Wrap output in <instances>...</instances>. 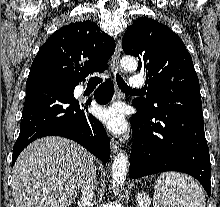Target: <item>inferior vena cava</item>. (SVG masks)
<instances>
[{
    "label": "inferior vena cava",
    "instance_id": "1",
    "mask_svg": "<svg viewBox=\"0 0 220 207\" xmlns=\"http://www.w3.org/2000/svg\"><path fill=\"white\" fill-rule=\"evenodd\" d=\"M96 176V169L92 168L89 170L80 180V188H81V197L80 202L83 207H90L93 197H94V190H95V177Z\"/></svg>",
    "mask_w": 220,
    "mask_h": 207
}]
</instances>
